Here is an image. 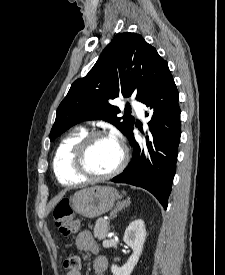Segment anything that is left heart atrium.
Segmentation results:
<instances>
[{
    "instance_id": "39dd6f15",
    "label": "left heart atrium",
    "mask_w": 225,
    "mask_h": 275,
    "mask_svg": "<svg viewBox=\"0 0 225 275\" xmlns=\"http://www.w3.org/2000/svg\"><path fill=\"white\" fill-rule=\"evenodd\" d=\"M110 138L117 141V135L115 133H113Z\"/></svg>"
}]
</instances>
